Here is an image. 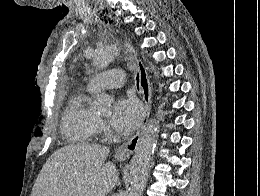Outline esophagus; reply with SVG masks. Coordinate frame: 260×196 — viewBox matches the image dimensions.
Returning <instances> with one entry per match:
<instances>
[{"mask_svg":"<svg viewBox=\"0 0 260 196\" xmlns=\"http://www.w3.org/2000/svg\"><path fill=\"white\" fill-rule=\"evenodd\" d=\"M127 50L132 53L136 59L137 63V70L139 73V86L142 91V98L145 106V114L143 116V120L141 123V126L137 133L130 138L126 143L122 144L115 150V158L117 159H123V158H128L136 148L138 147L142 133L146 127L147 121L149 119L150 111H151V96H152V90H151V84L147 75V71L141 61V59L138 57L136 54L133 46L131 43L125 41L124 42Z\"/></svg>","mask_w":260,"mask_h":196,"instance_id":"obj_1","label":"esophagus"}]
</instances>
